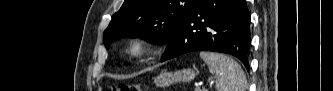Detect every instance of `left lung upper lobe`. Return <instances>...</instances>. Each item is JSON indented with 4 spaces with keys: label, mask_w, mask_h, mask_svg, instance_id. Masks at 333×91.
<instances>
[{
    "label": "left lung upper lobe",
    "mask_w": 333,
    "mask_h": 91,
    "mask_svg": "<svg viewBox=\"0 0 333 91\" xmlns=\"http://www.w3.org/2000/svg\"><path fill=\"white\" fill-rule=\"evenodd\" d=\"M198 0H125L112 16L103 40L106 48L124 37L168 43Z\"/></svg>",
    "instance_id": "1"
}]
</instances>
